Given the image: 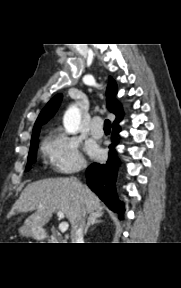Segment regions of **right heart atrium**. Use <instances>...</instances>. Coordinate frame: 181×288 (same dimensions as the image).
<instances>
[{"label": "right heart atrium", "instance_id": "d8ad5b80", "mask_svg": "<svg viewBox=\"0 0 181 288\" xmlns=\"http://www.w3.org/2000/svg\"><path fill=\"white\" fill-rule=\"evenodd\" d=\"M44 154L51 168L61 174L74 173L85 167L79 142L63 131H56L45 141Z\"/></svg>", "mask_w": 181, "mask_h": 288}]
</instances>
